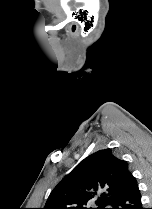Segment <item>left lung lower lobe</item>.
Listing matches in <instances>:
<instances>
[{
  "mask_svg": "<svg viewBox=\"0 0 152 209\" xmlns=\"http://www.w3.org/2000/svg\"><path fill=\"white\" fill-rule=\"evenodd\" d=\"M111 209H143L138 184L133 175L120 195L111 203Z\"/></svg>",
  "mask_w": 152,
  "mask_h": 209,
  "instance_id": "0a47b994",
  "label": "left lung lower lobe"
}]
</instances>
